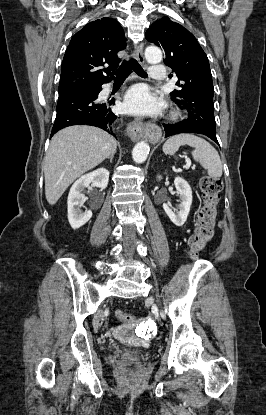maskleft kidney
Here are the masks:
<instances>
[{
  "label": "left kidney",
  "mask_w": 266,
  "mask_h": 415,
  "mask_svg": "<svg viewBox=\"0 0 266 415\" xmlns=\"http://www.w3.org/2000/svg\"><path fill=\"white\" fill-rule=\"evenodd\" d=\"M158 179H161V176ZM174 185L180 197L179 210L173 211L168 204H163V209L176 226H182L187 220L192 204V190L188 182L181 177L175 178Z\"/></svg>",
  "instance_id": "5707ae66"
}]
</instances>
